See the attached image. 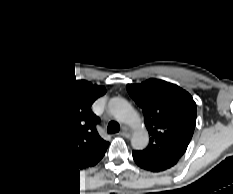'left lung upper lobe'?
<instances>
[{"label":"left lung upper lobe","instance_id":"5c2ea615","mask_svg":"<svg viewBox=\"0 0 233 194\" xmlns=\"http://www.w3.org/2000/svg\"><path fill=\"white\" fill-rule=\"evenodd\" d=\"M127 91L142 108L150 142L144 154L178 161L185 153L196 124V103L175 84L149 79L128 84Z\"/></svg>","mask_w":233,"mask_h":194}]
</instances>
